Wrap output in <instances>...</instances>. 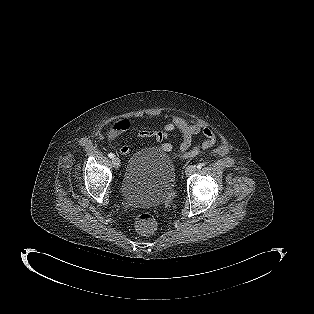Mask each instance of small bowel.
Listing matches in <instances>:
<instances>
[{"label":"small bowel","instance_id":"c3829d8e","mask_svg":"<svg viewBox=\"0 0 314 314\" xmlns=\"http://www.w3.org/2000/svg\"><path fill=\"white\" fill-rule=\"evenodd\" d=\"M178 130L181 134L180 150L185 156H194L200 149L206 150L213 147L216 143V135L213 130L200 123H189L181 117L174 116L167 122L161 130L143 129L136 134V140L152 139L161 142V149L164 152L170 153L172 144L168 140L169 135ZM202 134L204 139L201 144L192 147V138L194 135ZM132 144H124L120 147L119 153L126 155L131 150Z\"/></svg>","mask_w":314,"mask_h":314}]
</instances>
